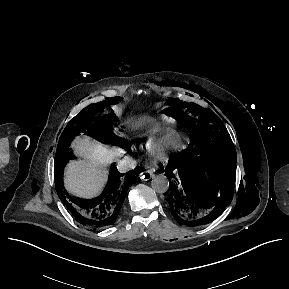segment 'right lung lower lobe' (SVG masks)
Wrapping results in <instances>:
<instances>
[{"instance_id":"obj_1","label":"right lung lower lobe","mask_w":289,"mask_h":289,"mask_svg":"<svg viewBox=\"0 0 289 289\" xmlns=\"http://www.w3.org/2000/svg\"><path fill=\"white\" fill-rule=\"evenodd\" d=\"M59 159H62L61 164ZM69 159V150L64 154L55 155L56 169L59 167L54 174L55 187L60 200L76 221L93 231L113 225L120 217L128 188L140 180L139 174L142 170L136 168L124 175L112 164L108 183L100 196L92 199H75L68 194L63 185L64 163Z\"/></svg>"}]
</instances>
